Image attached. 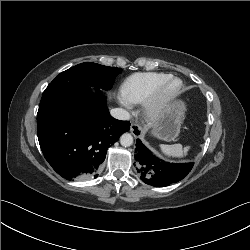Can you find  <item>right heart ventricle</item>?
Returning <instances> with one entry per match:
<instances>
[{
	"label": "right heart ventricle",
	"mask_w": 250,
	"mask_h": 250,
	"mask_svg": "<svg viewBox=\"0 0 250 250\" xmlns=\"http://www.w3.org/2000/svg\"><path fill=\"white\" fill-rule=\"evenodd\" d=\"M170 76V74L162 72L133 74L126 78L121 85L122 98L129 104L142 103L159 83Z\"/></svg>",
	"instance_id": "obj_1"
}]
</instances>
